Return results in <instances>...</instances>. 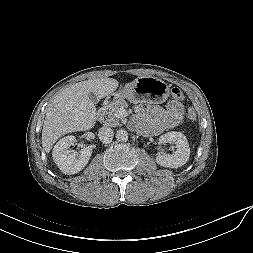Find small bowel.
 <instances>
[{"instance_id":"c3829d8e","label":"small bowel","mask_w":253,"mask_h":253,"mask_svg":"<svg viewBox=\"0 0 253 253\" xmlns=\"http://www.w3.org/2000/svg\"><path fill=\"white\" fill-rule=\"evenodd\" d=\"M135 112V122L143 125L148 134L157 135L179 124L184 115V107L177 101H170L166 108L139 104Z\"/></svg>"}]
</instances>
